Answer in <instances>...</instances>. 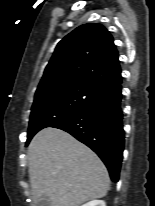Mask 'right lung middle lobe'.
Masks as SVG:
<instances>
[{
    "mask_svg": "<svg viewBox=\"0 0 155 206\" xmlns=\"http://www.w3.org/2000/svg\"><path fill=\"white\" fill-rule=\"evenodd\" d=\"M103 92L89 86L75 85L41 91L35 94L31 109L26 145L41 129L52 127L78 113Z\"/></svg>",
    "mask_w": 155,
    "mask_h": 206,
    "instance_id": "obj_1",
    "label": "right lung middle lobe"
}]
</instances>
